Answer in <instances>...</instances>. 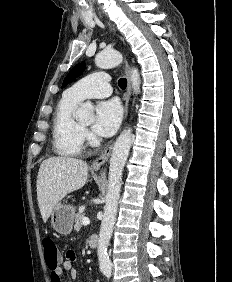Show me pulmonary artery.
<instances>
[{"label": "pulmonary artery", "instance_id": "obj_1", "mask_svg": "<svg viewBox=\"0 0 232 282\" xmlns=\"http://www.w3.org/2000/svg\"><path fill=\"white\" fill-rule=\"evenodd\" d=\"M66 93L78 101L107 97L112 93L110 76L106 72L90 74L76 82Z\"/></svg>", "mask_w": 232, "mask_h": 282}]
</instances>
